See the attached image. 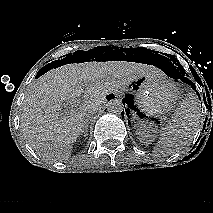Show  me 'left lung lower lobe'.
Wrapping results in <instances>:
<instances>
[{
	"mask_svg": "<svg viewBox=\"0 0 213 213\" xmlns=\"http://www.w3.org/2000/svg\"><path fill=\"white\" fill-rule=\"evenodd\" d=\"M191 87H192L194 90H196V87H195L194 84H192ZM196 93H197V91H196ZM199 98H200V96H199ZM125 102H127V100L124 98V99H123V104H125ZM124 107H125V105H124ZM122 113H123V112H122Z\"/></svg>",
	"mask_w": 213,
	"mask_h": 213,
	"instance_id": "left-lung-lower-lobe-1",
	"label": "left lung lower lobe"
}]
</instances>
